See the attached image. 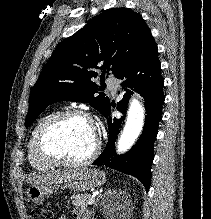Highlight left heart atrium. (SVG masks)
<instances>
[{
    "mask_svg": "<svg viewBox=\"0 0 211 219\" xmlns=\"http://www.w3.org/2000/svg\"><path fill=\"white\" fill-rule=\"evenodd\" d=\"M94 131H95V134H96V136H97V132H96V130L94 129Z\"/></svg>",
    "mask_w": 211,
    "mask_h": 219,
    "instance_id": "obj_1",
    "label": "left heart atrium"
}]
</instances>
